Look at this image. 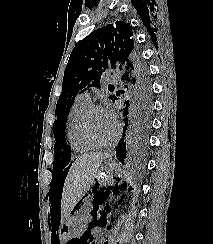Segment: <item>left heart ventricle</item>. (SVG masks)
<instances>
[{"label":"left heart ventricle","instance_id":"left-heart-ventricle-1","mask_svg":"<svg viewBox=\"0 0 213 244\" xmlns=\"http://www.w3.org/2000/svg\"><path fill=\"white\" fill-rule=\"evenodd\" d=\"M89 129L97 140L106 141L114 134L115 124L109 121L104 110H95L89 118Z\"/></svg>","mask_w":213,"mask_h":244}]
</instances>
